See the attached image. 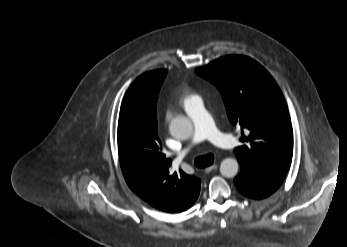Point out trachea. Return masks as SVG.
<instances>
[{
	"instance_id": "obj_1",
	"label": "trachea",
	"mask_w": 347,
	"mask_h": 247,
	"mask_svg": "<svg viewBox=\"0 0 347 247\" xmlns=\"http://www.w3.org/2000/svg\"><path fill=\"white\" fill-rule=\"evenodd\" d=\"M214 162V155L212 153L207 154L205 156L196 157L194 160V164L198 168H204L212 165Z\"/></svg>"
}]
</instances>
